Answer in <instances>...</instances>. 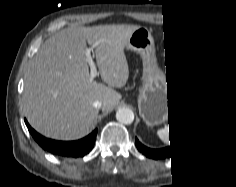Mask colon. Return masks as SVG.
<instances>
[{
  "label": "colon",
  "instance_id": "colon-1",
  "mask_svg": "<svg viewBox=\"0 0 236 187\" xmlns=\"http://www.w3.org/2000/svg\"><path fill=\"white\" fill-rule=\"evenodd\" d=\"M164 41V65L167 74L174 80H178L177 77V53L178 46L177 38L173 31L165 28L163 31Z\"/></svg>",
  "mask_w": 236,
  "mask_h": 187
}]
</instances>
